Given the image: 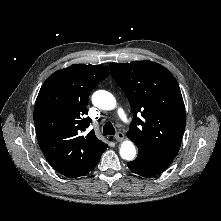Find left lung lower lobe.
<instances>
[{
  "instance_id": "obj_1",
  "label": "left lung lower lobe",
  "mask_w": 221,
  "mask_h": 221,
  "mask_svg": "<svg viewBox=\"0 0 221 221\" xmlns=\"http://www.w3.org/2000/svg\"><path fill=\"white\" fill-rule=\"evenodd\" d=\"M173 159L158 156L145 150L138 149V156L128 162L129 169L143 177H153L165 170Z\"/></svg>"
}]
</instances>
